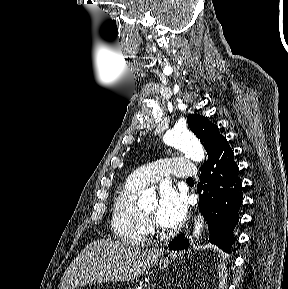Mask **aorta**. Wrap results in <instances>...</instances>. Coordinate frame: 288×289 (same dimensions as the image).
<instances>
[{
	"label": "aorta",
	"mask_w": 288,
	"mask_h": 289,
	"mask_svg": "<svg viewBox=\"0 0 288 289\" xmlns=\"http://www.w3.org/2000/svg\"><path fill=\"white\" fill-rule=\"evenodd\" d=\"M165 143L179 149L187 157H190L195 162H201L204 159V150L200 142L187 130L185 126H176L168 131L165 135ZM152 202V197L149 192H143L139 198L138 205L141 207L148 206ZM203 220L198 216L195 220L193 236L198 238L201 235Z\"/></svg>",
	"instance_id": "1"
}]
</instances>
